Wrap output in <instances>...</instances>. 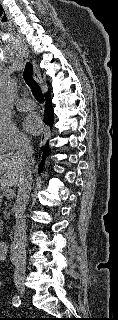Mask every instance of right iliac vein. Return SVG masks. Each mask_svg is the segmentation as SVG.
Returning a JSON list of instances; mask_svg holds the SVG:
<instances>
[{
    "label": "right iliac vein",
    "instance_id": "right-iliac-vein-1",
    "mask_svg": "<svg viewBox=\"0 0 118 320\" xmlns=\"http://www.w3.org/2000/svg\"><path fill=\"white\" fill-rule=\"evenodd\" d=\"M16 287H17V290L19 293H21V294L25 293V287L23 284H17Z\"/></svg>",
    "mask_w": 118,
    "mask_h": 320
}]
</instances>
